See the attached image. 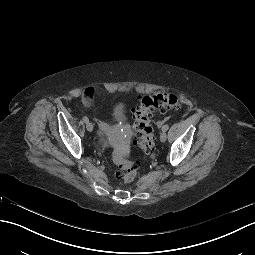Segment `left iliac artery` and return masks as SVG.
Segmentation results:
<instances>
[{
  "instance_id": "1",
  "label": "left iliac artery",
  "mask_w": 255,
  "mask_h": 255,
  "mask_svg": "<svg viewBox=\"0 0 255 255\" xmlns=\"http://www.w3.org/2000/svg\"><path fill=\"white\" fill-rule=\"evenodd\" d=\"M169 129V125L168 124H165L163 127H162V131H167Z\"/></svg>"
}]
</instances>
